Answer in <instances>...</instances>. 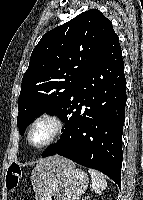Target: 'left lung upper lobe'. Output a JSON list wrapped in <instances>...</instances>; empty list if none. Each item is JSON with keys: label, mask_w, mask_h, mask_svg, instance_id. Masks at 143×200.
I'll use <instances>...</instances> for the list:
<instances>
[{"label": "left lung upper lobe", "mask_w": 143, "mask_h": 200, "mask_svg": "<svg viewBox=\"0 0 143 200\" xmlns=\"http://www.w3.org/2000/svg\"><path fill=\"white\" fill-rule=\"evenodd\" d=\"M115 36L112 23L97 9L43 35L22 79L17 126L26 127L41 113L49 112L61 117L66 128L78 80Z\"/></svg>", "instance_id": "left-lung-upper-lobe-1"}]
</instances>
